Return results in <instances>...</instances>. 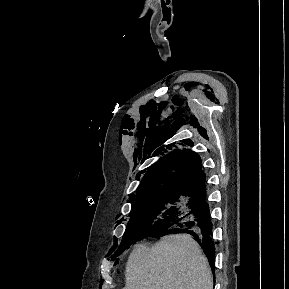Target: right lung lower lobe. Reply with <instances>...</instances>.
I'll return each instance as SVG.
<instances>
[{"label": "right lung lower lobe", "mask_w": 289, "mask_h": 289, "mask_svg": "<svg viewBox=\"0 0 289 289\" xmlns=\"http://www.w3.org/2000/svg\"><path fill=\"white\" fill-rule=\"evenodd\" d=\"M200 203L195 208L193 214L186 219L178 228H174L170 233H189L196 238L208 257L210 266L214 270V242L211 239L212 222L210 221L209 205L206 202L205 193L199 195ZM169 233V234H170ZM163 234H154L150 237H161Z\"/></svg>", "instance_id": "98d812e1"}]
</instances>
